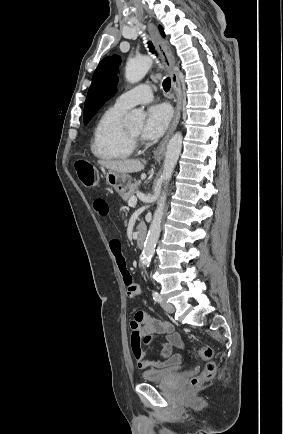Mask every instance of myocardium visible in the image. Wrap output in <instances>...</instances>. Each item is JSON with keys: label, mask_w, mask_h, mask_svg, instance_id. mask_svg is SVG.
Returning a JSON list of instances; mask_svg holds the SVG:
<instances>
[{"label": "myocardium", "mask_w": 283, "mask_h": 434, "mask_svg": "<svg viewBox=\"0 0 283 434\" xmlns=\"http://www.w3.org/2000/svg\"><path fill=\"white\" fill-rule=\"evenodd\" d=\"M126 133L130 141L135 146L139 142V135L132 133L128 128H126Z\"/></svg>", "instance_id": "1"}]
</instances>
